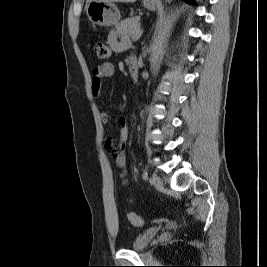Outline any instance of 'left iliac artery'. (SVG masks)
I'll use <instances>...</instances> for the list:
<instances>
[{"label":"left iliac artery","mask_w":267,"mask_h":267,"mask_svg":"<svg viewBox=\"0 0 267 267\" xmlns=\"http://www.w3.org/2000/svg\"><path fill=\"white\" fill-rule=\"evenodd\" d=\"M142 178L144 180H148V172L147 171H144L143 174H142Z\"/></svg>","instance_id":"44dca946"}]
</instances>
